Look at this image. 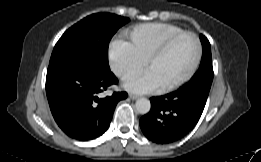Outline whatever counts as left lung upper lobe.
Listing matches in <instances>:
<instances>
[{"label": "left lung upper lobe", "instance_id": "left-lung-upper-lobe-1", "mask_svg": "<svg viewBox=\"0 0 261 162\" xmlns=\"http://www.w3.org/2000/svg\"><path fill=\"white\" fill-rule=\"evenodd\" d=\"M200 40L203 47L202 59L198 71L195 73V75L192 77L191 80L201 78V77L213 79V67H212L210 43L208 39L202 34L200 35Z\"/></svg>", "mask_w": 261, "mask_h": 162}]
</instances>
